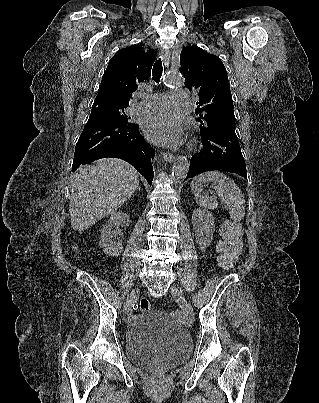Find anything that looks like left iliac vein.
I'll use <instances>...</instances> for the list:
<instances>
[{"label": "left iliac vein", "mask_w": 319, "mask_h": 403, "mask_svg": "<svg viewBox=\"0 0 319 403\" xmlns=\"http://www.w3.org/2000/svg\"><path fill=\"white\" fill-rule=\"evenodd\" d=\"M170 292H171L172 297L181 306L186 320L190 324H193L194 323V310H193L192 305L184 297L182 291H180L176 287H171Z\"/></svg>", "instance_id": "left-iliac-vein-1"}]
</instances>
